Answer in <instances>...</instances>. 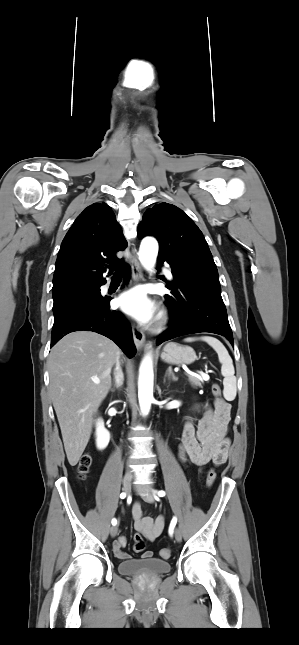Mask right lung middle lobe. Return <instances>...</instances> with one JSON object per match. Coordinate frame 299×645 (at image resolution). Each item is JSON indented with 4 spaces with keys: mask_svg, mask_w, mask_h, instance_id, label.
<instances>
[{
    "mask_svg": "<svg viewBox=\"0 0 299 645\" xmlns=\"http://www.w3.org/2000/svg\"><path fill=\"white\" fill-rule=\"evenodd\" d=\"M99 284H73L52 291L54 320L59 319L72 309L83 305L98 303L103 299Z\"/></svg>",
    "mask_w": 299,
    "mask_h": 645,
    "instance_id": "dd1d6c3e",
    "label": "right lung middle lobe"
}]
</instances>
